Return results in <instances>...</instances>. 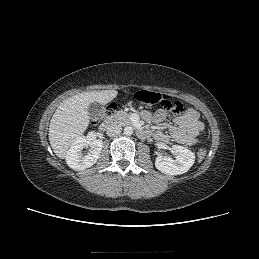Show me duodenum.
I'll return each instance as SVG.
<instances>
[{
  "label": "duodenum",
  "instance_id": "1",
  "mask_svg": "<svg viewBox=\"0 0 259 259\" xmlns=\"http://www.w3.org/2000/svg\"><path fill=\"white\" fill-rule=\"evenodd\" d=\"M113 124H114L113 119L107 118V119H105V120L100 124L99 129H100V131L104 132V131L110 129V128L113 126ZM138 133H139L141 136H144V135L147 134V131H146L145 129H142V128H141V129L138 130Z\"/></svg>",
  "mask_w": 259,
  "mask_h": 259
}]
</instances>
